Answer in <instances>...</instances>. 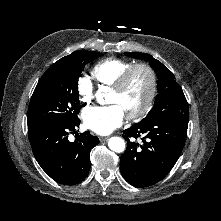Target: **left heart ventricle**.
Segmentation results:
<instances>
[{"mask_svg":"<svg viewBox=\"0 0 221 221\" xmlns=\"http://www.w3.org/2000/svg\"><path fill=\"white\" fill-rule=\"evenodd\" d=\"M149 89L148 76L144 71H136L123 93L112 91L110 102L119 104L126 114L138 110L144 103Z\"/></svg>","mask_w":221,"mask_h":221,"instance_id":"left-heart-ventricle-1","label":"left heart ventricle"}]
</instances>
